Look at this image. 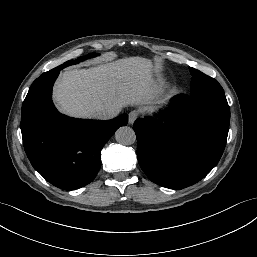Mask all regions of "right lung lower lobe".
I'll list each match as a JSON object with an SVG mask.
<instances>
[{
	"instance_id": "98d812e1",
	"label": "right lung lower lobe",
	"mask_w": 257,
	"mask_h": 257,
	"mask_svg": "<svg viewBox=\"0 0 257 257\" xmlns=\"http://www.w3.org/2000/svg\"><path fill=\"white\" fill-rule=\"evenodd\" d=\"M63 68L45 72L32 83L22 105L21 132L33 167L54 186L74 190L93 181L101 166L102 147L127 124L128 115L101 121L59 113L51 95Z\"/></svg>"
}]
</instances>
